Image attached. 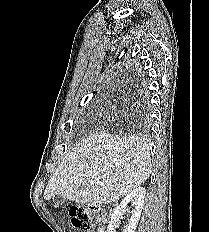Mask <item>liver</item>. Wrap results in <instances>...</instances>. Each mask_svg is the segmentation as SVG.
<instances>
[{
    "label": "liver",
    "mask_w": 209,
    "mask_h": 232,
    "mask_svg": "<svg viewBox=\"0 0 209 232\" xmlns=\"http://www.w3.org/2000/svg\"><path fill=\"white\" fill-rule=\"evenodd\" d=\"M150 174V147L145 139L96 133L63 158L48 182L44 199L61 195L77 204H108L130 194Z\"/></svg>",
    "instance_id": "liver-1"
}]
</instances>
